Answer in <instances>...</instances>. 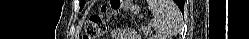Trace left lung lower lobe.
Instances as JSON below:
<instances>
[{
  "instance_id": "0a47b994",
  "label": "left lung lower lobe",
  "mask_w": 249,
  "mask_h": 39,
  "mask_svg": "<svg viewBox=\"0 0 249 39\" xmlns=\"http://www.w3.org/2000/svg\"><path fill=\"white\" fill-rule=\"evenodd\" d=\"M181 2V4L180 5H178L179 6V8L181 9V11L183 12L184 11V1L183 0H175V2L178 4V2Z\"/></svg>"
}]
</instances>
